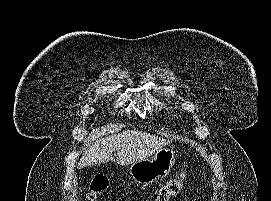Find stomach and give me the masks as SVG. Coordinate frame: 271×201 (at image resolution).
<instances>
[{
	"label": "stomach",
	"mask_w": 271,
	"mask_h": 201,
	"mask_svg": "<svg viewBox=\"0 0 271 201\" xmlns=\"http://www.w3.org/2000/svg\"><path fill=\"white\" fill-rule=\"evenodd\" d=\"M175 163V152L162 148L151 158H147L130 167V174L136 183L150 184L166 177Z\"/></svg>",
	"instance_id": "0dacf381"
}]
</instances>
